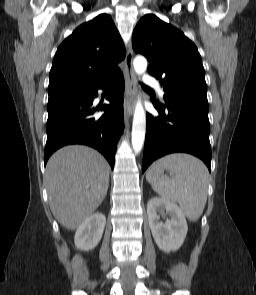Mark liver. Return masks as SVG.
I'll return each mask as SVG.
<instances>
[{"label": "liver", "instance_id": "1", "mask_svg": "<svg viewBox=\"0 0 256 295\" xmlns=\"http://www.w3.org/2000/svg\"><path fill=\"white\" fill-rule=\"evenodd\" d=\"M46 187L51 211L66 229H77L103 202L109 186V165L96 150L71 145L47 162Z\"/></svg>", "mask_w": 256, "mask_h": 295}]
</instances>
